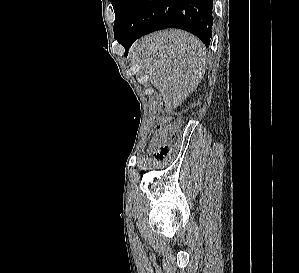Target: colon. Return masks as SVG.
Listing matches in <instances>:
<instances>
[{
	"label": "colon",
	"mask_w": 299,
	"mask_h": 273,
	"mask_svg": "<svg viewBox=\"0 0 299 273\" xmlns=\"http://www.w3.org/2000/svg\"><path fill=\"white\" fill-rule=\"evenodd\" d=\"M176 124L174 122L161 121L155 127L150 138V150L156 159H163L169 152L175 138Z\"/></svg>",
	"instance_id": "colon-1"
}]
</instances>
